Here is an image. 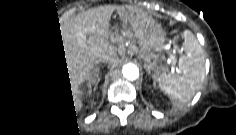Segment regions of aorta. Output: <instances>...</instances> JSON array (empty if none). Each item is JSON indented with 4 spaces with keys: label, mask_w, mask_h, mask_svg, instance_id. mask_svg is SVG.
<instances>
[{
    "label": "aorta",
    "mask_w": 236,
    "mask_h": 135,
    "mask_svg": "<svg viewBox=\"0 0 236 135\" xmlns=\"http://www.w3.org/2000/svg\"><path fill=\"white\" fill-rule=\"evenodd\" d=\"M122 74L127 80L134 81L139 77V69L135 64L128 63L122 67Z\"/></svg>",
    "instance_id": "1"
}]
</instances>
